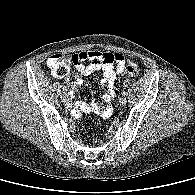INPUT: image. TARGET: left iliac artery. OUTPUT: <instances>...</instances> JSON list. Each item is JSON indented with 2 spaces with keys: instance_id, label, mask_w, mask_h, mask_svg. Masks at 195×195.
I'll list each match as a JSON object with an SVG mask.
<instances>
[{
  "instance_id": "left-iliac-artery-1",
  "label": "left iliac artery",
  "mask_w": 195,
  "mask_h": 195,
  "mask_svg": "<svg viewBox=\"0 0 195 195\" xmlns=\"http://www.w3.org/2000/svg\"><path fill=\"white\" fill-rule=\"evenodd\" d=\"M122 95H123V96H125V95H126V92H125V91H123V92H122Z\"/></svg>"
}]
</instances>
